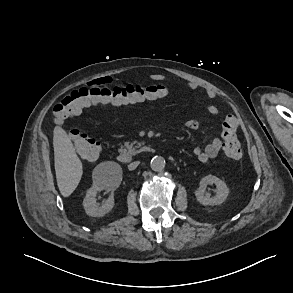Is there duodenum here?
<instances>
[{
	"label": "duodenum",
	"instance_id": "410a0bca",
	"mask_svg": "<svg viewBox=\"0 0 293 293\" xmlns=\"http://www.w3.org/2000/svg\"><path fill=\"white\" fill-rule=\"evenodd\" d=\"M141 153H154L155 149L150 146H141L138 149ZM134 154L129 152H121L117 155V159L122 164H129L133 161Z\"/></svg>",
	"mask_w": 293,
	"mask_h": 293
}]
</instances>
